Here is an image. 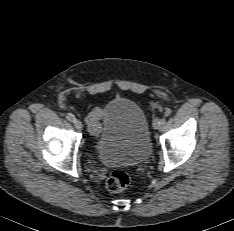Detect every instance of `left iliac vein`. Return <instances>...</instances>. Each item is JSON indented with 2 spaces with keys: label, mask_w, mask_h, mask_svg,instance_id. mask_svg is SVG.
I'll return each mask as SVG.
<instances>
[{
  "label": "left iliac vein",
  "mask_w": 234,
  "mask_h": 231,
  "mask_svg": "<svg viewBox=\"0 0 234 231\" xmlns=\"http://www.w3.org/2000/svg\"><path fill=\"white\" fill-rule=\"evenodd\" d=\"M159 122H160L159 118L154 119V121H153V127H154V129H159L160 128Z\"/></svg>",
  "instance_id": "1"
}]
</instances>
